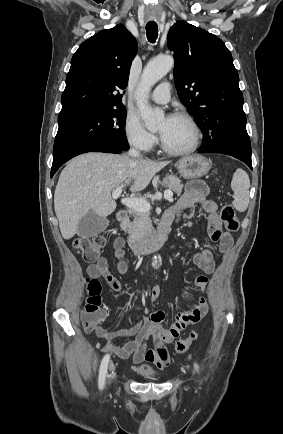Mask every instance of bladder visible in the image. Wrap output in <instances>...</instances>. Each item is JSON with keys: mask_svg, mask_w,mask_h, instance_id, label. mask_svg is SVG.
I'll list each match as a JSON object with an SVG mask.
<instances>
[{"mask_svg": "<svg viewBox=\"0 0 283 434\" xmlns=\"http://www.w3.org/2000/svg\"><path fill=\"white\" fill-rule=\"evenodd\" d=\"M139 374L142 377H144L145 379H151L152 380V379H156L157 378L156 372L153 369H151V368L143 370V371L139 372Z\"/></svg>", "mask_w": 283, "mask_h": 434, "instance_id": "obj_1", "label": "bladder"}]
</instances>
